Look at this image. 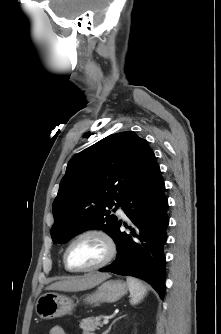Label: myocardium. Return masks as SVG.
I'll use <instances>...</instances> for the list:
<instances>
[{"label":"myocardium","mask_w":221,"mask_h":334,"mask_svg":"<svg viewBox=\"0 0 221 334\" xmlns=\"http://www.w3.org/2000/svg\"><path fill=\"white\" fill-rule=\"evenodd\" d=\"M88 236H95L100 238L106 246V255L105 257L97 264L90 266V267H85V268H76L70 265L68 255L71 247L80 239ZM117 251V245L110 233H108L106 230L101 229V228H89L85 229L78 234H76L67 244L64 254H63V262L65 267L71 271V272H90V271H95L98 269H101L108 265L111 260L114 258L115 254Z\"/></svg>","instance_id":"obj_1"}]
</instances>
